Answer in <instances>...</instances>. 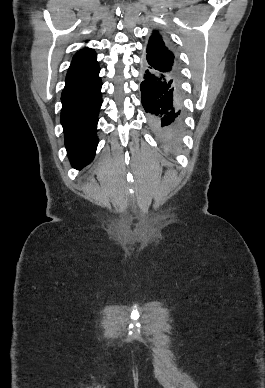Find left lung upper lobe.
I'll return each mask as SVG.
<instances>
[{"instance_id":"left-lung-upper-lobe-1","label":"left lung upper lobe","mask_w":265,"mask_h":388,"mask_svg":"<svg viewBox=\"0 0 265 388\" xmlns=\"http://www.w3.org/2000/svg\"><path fill=\"white\" fill-rule=\"evenodd\" d=\"M144 64L170 74L180 81V71L174 53L168 47L158 31H153L146 51Z\"/></svg>"}]
</instances>
